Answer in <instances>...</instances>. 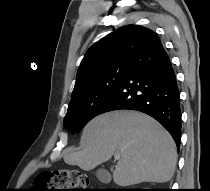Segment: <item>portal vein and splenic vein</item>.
Here are the masks:
<instances>
[{
  "label": "portal vein and splenic vein",
  "instance_id": "obj_1",
  "mask_svg": "<svg viewBox=\"0 0 210 191\" xmlns=\"http://www.w3.org/2000/svg\"><path fill=\"white\" fill-rule=\"evenodd\" d=\"M114 158H115V159H119V158H120V154H115V155H114Z\"/></svg>",
  "mask_w": 210,
  "mask_h": 191
}]
</instances>
